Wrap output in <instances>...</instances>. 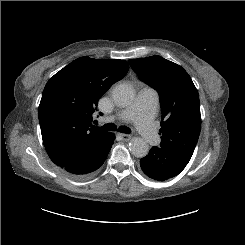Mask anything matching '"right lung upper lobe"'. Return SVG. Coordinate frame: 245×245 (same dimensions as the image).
<instances>
[{"label":"right lung upper lobe","instance_id":"obj_1","mask_svg":"<svg viewBox=\"0 0 245 245\" xmlns=\"http://www.w3.org/2000/svg\"><path fill=\"white\" fill-rule=\"evenodd\" d=\"M129 69L125 60L81 57L47 82L38 115L45 149L64 167L107 132L92 124L98 100Z\"/></svg>","mask_w":245,"mask_h":245}]
</instances>
